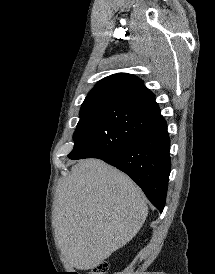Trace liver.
Masks as SVG:
<instances>
[{
  "mask_svg": "<svg viewBox=\"0 0 215 274\" xmlns=\"http://www.w3.org/2000/svg\"><path fill=\"white\" fill-rule=\"evenodd\" d=\"M148 206L124 173L98 159L79 161L56 191L53 226L67 263L92 269L141 229Z\"/></svg>",
  "mask_w": 215,
  "mask_h": 274,
  "instance_id": "obj_1",
  "label": "liver"
}]
</instances>
